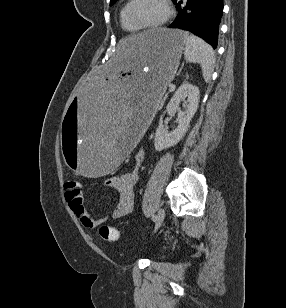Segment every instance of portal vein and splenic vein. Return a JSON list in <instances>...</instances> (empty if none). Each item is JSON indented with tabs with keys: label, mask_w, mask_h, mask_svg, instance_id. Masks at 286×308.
<instances>
[{
	"label": "portal vein and splenic vein",
	"mask_w": 286,
	"mask_h": 308,
	"mask_svg": "<svg viewBox=\"0 0 286 308\" xmlns=\"http://www.w3.org/2000/svg\"><path fill=\"white\" fill-rule=\"evenodd\" d=\"M169 89H170V90H173V89H175V86H174V85H171V86L169 87Z\"/></svg>",
	"instance_id": "portal-vein-and-splenic-vein-1"
}]
</instances>
